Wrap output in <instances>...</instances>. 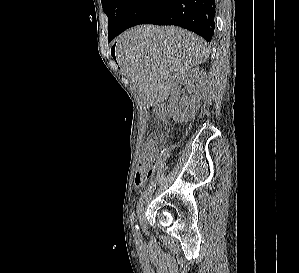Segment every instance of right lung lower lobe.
Segmentation results:
<instances>
[{
  "label": "right lung lower lobe",
  "mask_w": 299,
  "mask_h": 273,
  "mask_svg": "<svg viewBox=\"0 0 299 273\" xmlns=\"http://www.w3.org/2000/svg\"><path fill=\"white\" fill-rule=\"evenodd\" d=\"M215 2L216 0H134L117 35L138 24L176 25L211 41L215 28Z\"/></svg>",
  "instance_id": "1"
}]
</instances>
